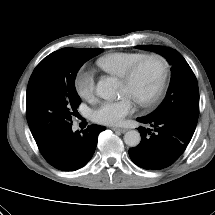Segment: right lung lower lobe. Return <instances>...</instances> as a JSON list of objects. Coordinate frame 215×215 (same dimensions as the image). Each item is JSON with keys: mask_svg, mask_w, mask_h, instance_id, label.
<instances>
[{"mask_svg": "<svg viewBox=\"0 0 215 215\" xmlns=\"http://www.w3.org/2000/svg\"><path fill=\"white\" fill-rule=\"evenodd\" d=\"M106 128L91 125L84 131H72V124L52 136L38 148L53 167L62 171L82 168L93 156L98 135Z\"/></svg>", "mask_w": 215, "mask_h": 215, "instance_id": "1", "label": "right lung lower lobe"}]
</instances>
